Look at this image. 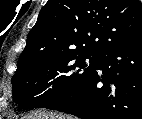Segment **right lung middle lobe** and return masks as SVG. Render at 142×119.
Wrapping results in <instances>:
<instances>
[{"label":"right lung middle lobe","instance_id":"dd1d6c3e","mask_svg":"<svg viewBox=\"0 0 142 119\" xmlns=\"http://www.w3.org/2000/svg\"><path fill=\"white\" fill-rule=\"evenodd\" d=\"M98 54L70 50L48 56L12 77L13 101L19 108H48L74 91L95 70Z\"/></svg>","mask_w":142,"mask_h":119}]
</instances>
